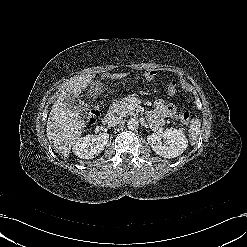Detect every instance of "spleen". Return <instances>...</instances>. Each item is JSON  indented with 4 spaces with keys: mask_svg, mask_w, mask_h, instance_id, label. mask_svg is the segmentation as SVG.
<instances>
[{
    "mask_svg": "<svg viewBox=\"0 0 247 247\" xmlns=\"http://www.w3.org/2000/svg\"><path fill=\"white\" fill-rule=\"evenodd\" d=\"M201 129V121L199 118H194L190 122L189 130H188V137L189 141L192 145H195Z\"/></svg>",
    "mask_w": 247,
    "mask_h": 247,
    "instance_id": "obj_1",
    "label": "spleen"
}]
</instances>
